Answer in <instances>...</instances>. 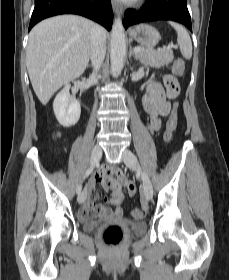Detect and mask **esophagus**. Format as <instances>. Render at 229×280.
I'll return each mask as SVG.
<instances>
[{"mask_svg":"<svg viewBox=\"0 0 229 280\" xmlns=\"http://www.w3.org/2000/svg\"><path fill=\"white\" fill-rule=\"evenodd\" d=\"M111 3H112L113 11L117 15H121L122 14V6L116 0H112Z\"/></svg>","mask_w":229,"mask_h":280,"instance_id":"1","label":"esophagus"}]
</instances>
